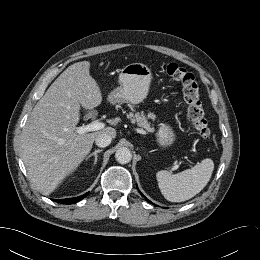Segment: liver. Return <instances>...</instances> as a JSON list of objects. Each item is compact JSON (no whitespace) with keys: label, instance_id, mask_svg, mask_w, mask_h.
<instances>
[{"label":"liver","instance_id":"1","mask_svg":"<svg viewBox=\"0 0 260 260\" xmlns=\"http://www.w3.org/2000/svg\"><path fill=\"white\" fill-rule=\"evenodd\" d=\"M102 102L97 82L90 76V62L69 66L37 102L21 135L23 161L32 185L45 195L52 193L91 151L102 133L116 137L106 127L78 134L80 109L92 110ZM108 123L117 125V119Z\"/></svg>","mask_w":260,"mask_h":260}]
</instances>
